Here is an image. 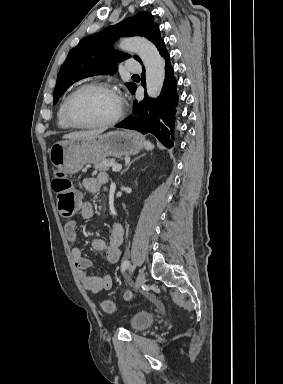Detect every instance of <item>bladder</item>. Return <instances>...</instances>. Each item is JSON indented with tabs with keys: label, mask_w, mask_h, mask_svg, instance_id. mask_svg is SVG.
I'll list each match as a JSON object with an SVG mask.
<instances>
[{
	"label": "bladder",
	"mask_w": 283,
	"mask_h": 384,
	"mask_svg": "<svg viewBox=\"0 0 283 384\" xmlns=\"http://www.w3.org/2000/svg\"><path fill=\"white\" fill-rule=\"evenodd\" d=\"M155 320V315L150 310H138L130 318V329L139 333L150 327Z\"/></svg>",
	"instance_id": "31cf9c89"
}]
</instances>
